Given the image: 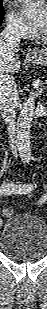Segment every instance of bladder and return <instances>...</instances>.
<instances>
[{"label":"bladder","instance_id":"31cf9c89","mask_svg":"<svg viewBox=\"0 0 47 309\" xmlns=\"http://www.w3.org/2000/svg\"><path fill=\"white\" fill-rule=\"evenodd\" d=\"M0 248L12 259L41 258L47 251V225L32 214H13L1 231Z\"/></svg>","mask_w":47,"mask_h":309}]
</instances>
